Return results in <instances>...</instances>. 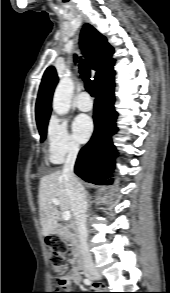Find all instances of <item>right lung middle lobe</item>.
Wrapping results in <instances>:
<instances>
[{
	"label": "right lung middle lobe",
	"mask_w": 170,
	"mask_h": 293,
	"mask_svg": "<svg viewBox=\"0 0 170 293\" xmlns=\"http://www.w3.org/2000/svg\"><path fill=\"white\" fill-rule=\"evenodd\" d=\"M46 128H47V126L39 129V132H40V135H41V140H40L41 142H43L45 137H46Z\"/></svg>",
	"instance_id": "1"
}]
</instances>
